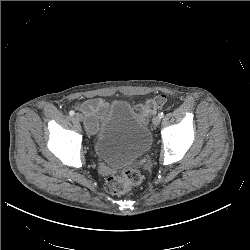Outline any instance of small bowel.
Instances as JSON below:
<instances>
[{"label": "small bowel", "mask_w": 250, "mask_h": 250, "mask_svg": "<svg viewBox=\"0 0 250 250\" xmlns=\"http://www.w3.org/2000/svg\"><path fill=\"white\" fill-rule=\"evenodd\" d=\"M107 106V102L101 98H91L75 105L84 114V124L90 132L95 131L99 116L106 112Z\"/></svg>", "instance_id": "small-bowel-1"}]
</instances>
